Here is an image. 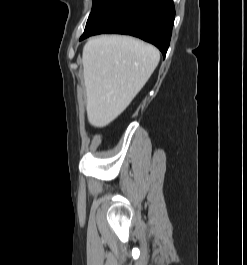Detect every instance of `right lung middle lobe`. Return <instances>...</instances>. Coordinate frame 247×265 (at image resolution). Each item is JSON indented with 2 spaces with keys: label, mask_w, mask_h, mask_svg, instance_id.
<instances>
[{
  "label": "right lung middle lobe",
  "mask_w": 247,
  "mask_h": 265,
  "mask_svg": "<svg viewBox=\"0 0 247 265\" xmlns=\"http://www.w3.org/2000/svg\"><path fill=\"white\" fill-rule=\"evenodd\" d=\"M101 0H93V8L92 10L98 5V3L100 2Z\"/></svg>",
  "instance_id": "dd1d6c3e"
}]
</instances>
